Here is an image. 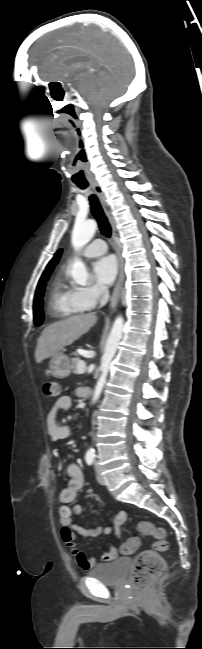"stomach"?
Segmentation results:
<instances>
[{
	"label": "stomach",
	"mask_w": 202,
	"mask_h": 649,
	"mask_svg": "<svg viewBox=\"0 0 202 649\" xmlns=\"http://www.w3.org/2000/svg\"><path fill=\"white\" fill-rule=\"evenodd\" d=\"M49 370L53 377L64 379L71 373V363L68 356L58 353L52 356L49 362Z\"/></svg>",
	"instance_id": "stomach-1"
}]
</instances>
